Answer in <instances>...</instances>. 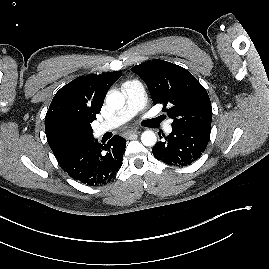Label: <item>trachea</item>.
Returning a JSON list of instances; mask_svg holds the SVG:
<instances>
[{"label":"trachea","mask_w":269,"mask_h":269,"mask_svg":"<svg viewBox=\"0 0 269 269\" xmlns=\"http://www.w3.org/2000/svg\"><path fill=\"white\" fill-rule=\"evenodd\" d=\"M155 121L156 122H159V121H161V118H157V119H155Z\"/></svg>","instance_id":"1"}]
</instances>
